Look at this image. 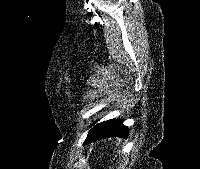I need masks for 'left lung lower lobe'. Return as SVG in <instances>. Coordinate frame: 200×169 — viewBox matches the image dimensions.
I'll use <instances>...</instances> for the list:
<instances>
[{"label":"left lung lower lobe","instance_id":"obj_1","mask_svg":"<svg viewBox=\"0 0 200 169\" xmlns=\"http://www.w3.org/2000/svg\"><path fill=\"white\" fill-rule=\"evenodd\" d=\"M128 134L129 131L127 127L122 124L121 119H112L94 126L89 131L85 143L94 142L102 138L126 137Z\"/></svg>","mask_w":200,"mask_h":169}]
</instances>
